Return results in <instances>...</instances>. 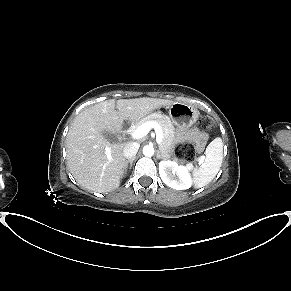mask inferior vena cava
Segmentation results:
<instances>
[{"mask_svg": "<svg viewBox=\"0 0 291 291\" xmlns=\"http://www.w3.org/2000/svg\"><path fill=\"white\" fill-rule=\"evenodd\" d=\"M140 145L137 142H129L125 145L123 149L124 157L131 159L134 158L138 152Z\"/></svg>", "mask_w": 291, "mask_h": 291, "instance_id": "obj_1", "label": "inferior vena cava"}]
</instances>
